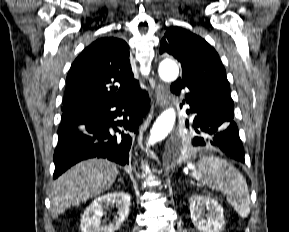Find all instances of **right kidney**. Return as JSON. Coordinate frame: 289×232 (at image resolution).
<instances>
[{
    "label": "right kidney",
    "instance_id": "ca27d5eb",
    "mask_svg": "<svg viewBox=\"0 0 289 232\" xmlns=\"http://www.w3.org/2000/svg\"><path fill=\"white\" fill-rule=\"evenodd\" d=\"M115 204L118 208L117 216L113 223L104 225L102 217L104 208ZM130 196L122 191L111 192L96 198L81 216L80 227L82 232H115L128 218Z\"/></svg>",
    "mask_w": 289,
    "mask_h": 232
}]
</instances>
